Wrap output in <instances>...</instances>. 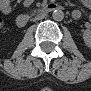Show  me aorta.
I'll use <instances>...</instances> for the list:
<instances>
[{
	"mask_svg": "<svg viewBox=\"0 0 91 91\" xmlns=\"http://www.w3.org/2000/svg\"><path fill=\"white\" fill-rule=\"evenodd\" d=\"M52 17L55 21H62L64 18V12L62 10H54Z\"/></svg>",
	"mask_w": 91,
	"mask_h": 91,
	"instance_id": "obj_1",
	"label": "aorta"
}]
</instances>
